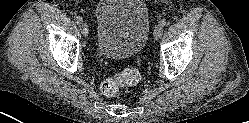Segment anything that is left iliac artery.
I'll return each instance as SVG.
<instances>
[{
	"label": "left iliac artery",
	"instance_id": "left-iliac-artery-1",
	"mask_svg": "<svg viewBox=\"0 0 249 123\" xmlns=\"http://www.w3.org/2000/svg\"><path fill=\"white\" fill-rule=\"evenodd\" d=\"M159 25H160L161 27H165V26H166V20H165V19H161V20L159 21Z\"/></svg>",
	"mask_w": 249,
	"mask_h": 123
}]
</instances>
